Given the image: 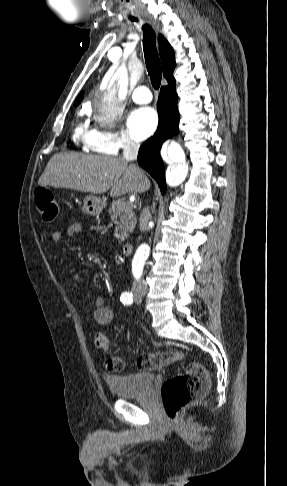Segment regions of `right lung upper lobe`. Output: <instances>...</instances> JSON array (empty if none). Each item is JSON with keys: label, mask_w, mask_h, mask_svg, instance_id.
Masks as SVG:
<instances>
[{"label": "right lung upper lobe", "mask_w": 287, "mask_h": 486, "mask_svg": "<svg viewBox=\"0 0 287 486\" xmlns=\"http://www.w3.org/2000/svg\"><path fill=\"white\" fill-rule=\"evenodd\" d=\"M159 53L162 62L163 74L164 77L167 79L168 83L174 82L173 78V70L175 68V60H174V51L167 40L162 36L159 35ZM83 99V92L80 93L78 98L75 101V105L77 106Z\"/></svg>", "instance_id": "obj_1"}]
</instances>
